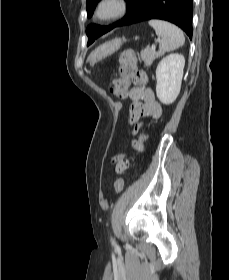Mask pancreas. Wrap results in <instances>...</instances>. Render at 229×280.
Returning a JSON list of instances; mask_svg holds the SVG:
<instances>
[{"label":"pancreas","mask_w":229,"mask_h":280,"mask_svg":"<svg viewBox=\"0 0 229 280\" xmlns=\"http://www.w3.org/2000/svg\"><path fill=\"white\" fill-rule=\"evenodd\" d=\"M159 56L160 53L152 49H144L141 51V59L144 61L146 66H150L152 62Z\"/></svg>","instance_id":"cf45deb5"}]
</instances>
